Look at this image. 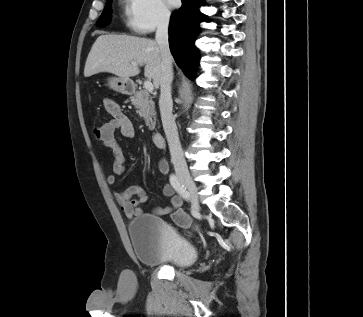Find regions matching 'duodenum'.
<instances>
[{
  "mask_svg": "<svg viewBox=\"0 0 363 317\" xmlns=\"http://www.w3.org/2000/svg\"><path fill=\"white\" fill-rule=\"evenodd\" d=\"M128 91H133L134 88L133 87H128L127 88ZM152 142L153 144L157 147V148H162L164 147L165 145V142H164V138H163V135L161 132L159 131H155L153 134H152Z\"/></svg>",
  "mask_w": 363,
  "mask_h": 317,
  "instance_id": "410a0bca",
  "label": "duodenum"
}]
</instances>
